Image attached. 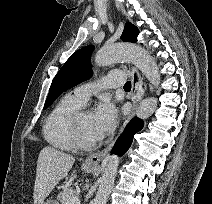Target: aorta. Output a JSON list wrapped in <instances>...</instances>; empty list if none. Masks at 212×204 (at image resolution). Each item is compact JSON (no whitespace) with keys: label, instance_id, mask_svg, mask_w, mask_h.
<instances>
[{"label":"aorta","instance_id":"obj_1","mask_svg":"<svg viewBox=\"0 0 212 204\" xmlns=\"http://www.w3.org/2000/svg\"><path fill=\"white\" fill-rule=\"evenodd\" d=\"M118 61L133 63L155 88L159 87L161 82L159 68L153 57L144 48L133 44H114L101 48L95 56V63L98 66H107ZM157 104L158 100L155 97L142 100L136 109L137 117L141 119L150 117L156 110ZM118 165L119 158L116 155L107 158V164L100 180L94 204H106Z\"/></svg>","mask_w":212,"mask_h":204}]
</instances>
